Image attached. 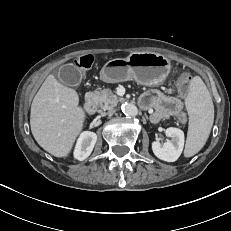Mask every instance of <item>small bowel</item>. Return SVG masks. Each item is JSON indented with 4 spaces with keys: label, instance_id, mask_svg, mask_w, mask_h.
<instances>
[{
    "label": "small bowel",
    "instance_id": "1",
    "mask_svg": "<svg viewBox=\"0 0 231 231\" xmlns=\"http://www.w3.org/2000/svg\"><path fill=\"white\" fill-rule=\"evenodd\" d=\"M140 105L144 109H154L151 115L152 122L183 114L182 100L158 90H150L144 93L140 99Z\"/></svg>",
    "mask_w": 231,
    "mask_h": 231
}]
</instances>
